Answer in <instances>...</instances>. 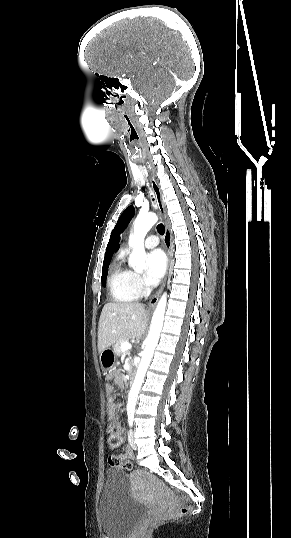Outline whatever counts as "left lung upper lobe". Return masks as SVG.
Returning <instances> with one entry per match:
<instances>
[{"instance_id":"1","label":"left lung upper lobe","mask_w":291,"mask_h":538,"mask_svg":"<svg viewBox=\"0 0 291 538\" xmlns=\"http://www.w3.org/2000/svg\"><path fill=\"white\" fill-rule=\"evenodd\" d=\"M133 215H134V207L130 206V207L126 208L124 210V212L121 214L120 218L118 219L117 224H116L113 231L114 232L115 231L122 232L126 228L128 223L130 222Z\"/></svg>"}]
</instances>
